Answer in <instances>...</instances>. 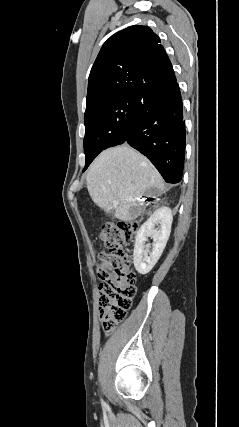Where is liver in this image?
I'll return each mask as SVG.
<instances>
[{
    "mask_svg": "<svg viewBox=\"0 0 239 427\" xmlns=\"http://www.w3.org/2000/svg\"><path fill=\"white\" fill-rule=\"evenodd\" d=\"M164 188L156 168L127 144L103 151L87 173V189L92 200L106 213L123 221L137 217L143 196L152 195L153 190L160 194Z\"/></svg>",
    "mask_w": 239,
    "mask_h": 427,
    "instance_id": "6515ba94",
    "label": "liver"
}]
</instances>
